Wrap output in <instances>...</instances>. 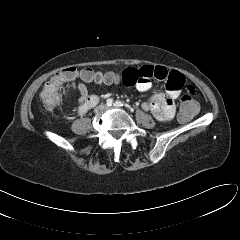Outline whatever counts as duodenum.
I'll list each match as a JSON object with an SVG mask.
<instances>
[{
  "instance_id": "410a0bca",
  "label": "duodenum",
  "mask_w": 240,
  "mask_h": 240,
  "mask_svg": "<svg viewBox=\"0 0 240 240\" xmlns=\"http://www.w3.org/2000/svg\"><path fill=\"white\" fill-rule=\"evenodd\" d=\"M97 102H98L97 97H91L84 106L80 107V110H79L80 113H84L88 109L92 108L97 104Z\"/></svg>"
}]
</instances>
